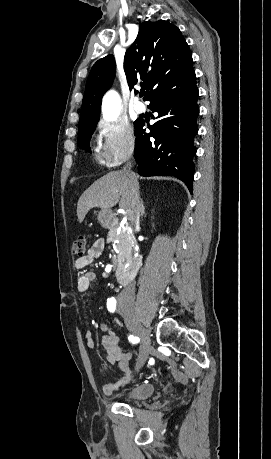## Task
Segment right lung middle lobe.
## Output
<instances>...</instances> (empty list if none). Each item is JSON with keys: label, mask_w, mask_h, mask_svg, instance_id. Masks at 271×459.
Segmentation results:
<instances>
[{"label": "right lung middle lobe", "mask_w": 271, "mask_h": 459, "mask_svg": "<svg viewBox=\"0 0 271 459\" xmlns=\"http://www.w3.org/2000/svg\"><path fill=\"white\" fill-rule=\"evenodd\" d=\"M99 118L96 119H90V120H83L79 122V130H78V146L81 149H85L88 152L91 151L90 146H89V140L91 138V135L97 125ZM140 120H136L134 122V125H137Z\"/></svg>", "instance_id": "right-lung-middle-lobe-1"}]
</instances>
